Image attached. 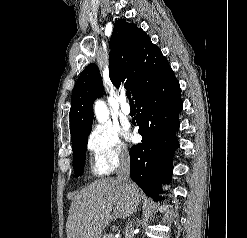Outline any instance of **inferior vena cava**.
Returning a JSON list of instances; mask_svg holds the SVG:
<instances>
[{"instance_id": "inferior-vena-cava-1", "label": "inferior vena cava", "mask_w": 247, "mask_h": 238, "mask_svg": "<svg viewBox=\"0 0 247 238\" xmlns=\"http://www.w3.org/2000/svg\"><path fill=\"white\" fill-rule=\"evenodd\" d=\"M117 180L125 184V186L131 191L134 186L130 181V158L129 153L126 150L120 153V165L117 170ZM132 227V226H131ZM128 238H133L132 234H129Z\"/></svg>"}]
</instances>
